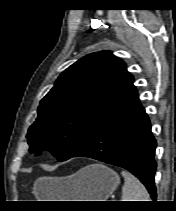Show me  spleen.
Returning a JSON list of instances; mask_svg holds the SVG:
<instances>
[{
    "label": "spleen",
    "instance_id": "spleen-1",
    "mask_svg": "<svg viewBox=\"0 0 176 211\" xmlns=\"http://www.w3.org/2000/svg\"><path fill=\"white\" fill-rule=\"evenodd\" d=\"M121 174L125 179L121 201H150L146 188L133 174L126 170Z\"/></svg>",
    "mask_w": 176,
    "mask_h": 211
}]
</instances>
